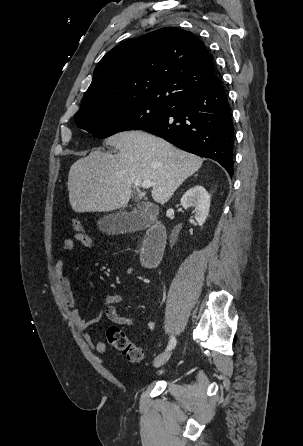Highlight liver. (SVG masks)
Returning <instances> with one entry per match:
<instances>
[{"label": "liver", "mask_w": 303, "mask_h": 446, "mask_svg": "<svg viewBox=\"0 0 303 446\" xmlns=\"http://www.w3.org/2000/svg\"><path fill=\"white\" fill-rule=\"evenodd\" d=\"M115 155L100 150L77 160L68 175L69 201L75 212H106L125 207L135 182L150 180L152 198L165 204L202 165L203 159L143 131L106 139Z\"/></svg>", "instance_id": "liver-1"}]
</instances>
